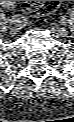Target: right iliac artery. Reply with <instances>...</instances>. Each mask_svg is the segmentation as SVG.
I'll return each mask as SVG.
<instances>
[{
	"instance_id": "1",
	"label": "right iliac artery",
	"mask_w": 74,
	"mask_h": 122,
	"mask_svg": "<svg viewBox=\"0 0 74 122\" xmlns=\"http://www.w3.org/2000/svg\"><path fill=\"white\" fill-rule=\"evenodd\" d=\"M11 22L12 23H16V20L14 18H12Z\"/></svg>"
}]
</instances>
